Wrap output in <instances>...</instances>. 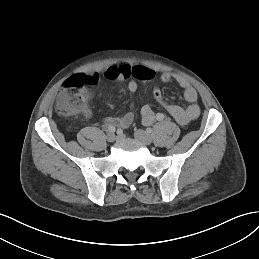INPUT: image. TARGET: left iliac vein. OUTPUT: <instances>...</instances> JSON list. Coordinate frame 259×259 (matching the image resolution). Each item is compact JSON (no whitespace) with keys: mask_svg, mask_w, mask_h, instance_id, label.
Masks as SVG:
<instances>
[{"mask_svg":"<svg viewBox=\"0 0 259 259\" xmlns=\"http://www.w3.org/2000/svg\"><path fill=\"white\" fill-rule=\"evenodd\" d=\"M134 137L136 138V140L143 143L144 145H150L153 140L149 133L141 129L135 131Z\"/></svg>","mask_w":259,"mask_h":259,"instance_id":"4c4485c4","label":"left iliac vein"}]
</instances>
